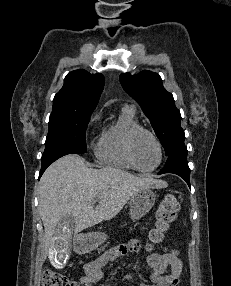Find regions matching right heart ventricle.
<instances>
[{
  "instance_id": "right-heart-ventricle-1",
  "label": "right heart ventricle",
  "mask_w": 231,
  "mask_h": 286,
  "mask_svg": "<svg viewBox=\"0 0 231 286\" xmlns=\"http://www.w3.org/2000/svg\"><path fill=\"white\" fill-rule=\"evenodd\" d=\"M137 127L140 125L134 110L123 108L119 118L103 130L94 147L98 161L110 167L133 170L126 155L125 144L129 132Z\"/></svg>"
}]
</instances>
